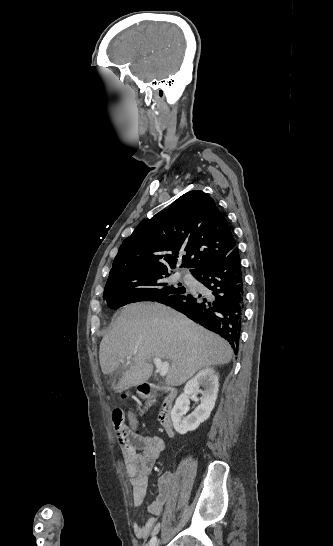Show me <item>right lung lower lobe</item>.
Listing matches in <instances>:
<instances>
[{"mask_svg":"<svg viewBox=\"0 0 333 546\" xmlns=\"http://www.w3.org/2000/svg\"><path fill=\"white\" fill-rule=\"evenodd\" d=\"M210 291L205 295H171L157 300L219 334L238 353L244 311V282L234 248L223 259L193 275Z\"/></svg>","mask_w":333,"mask_h":546,"instance_id":"1","label":"right lung lower lobe"}]
</instances>
